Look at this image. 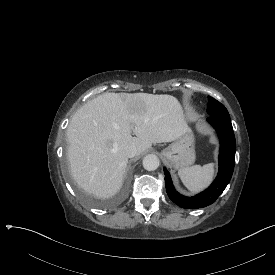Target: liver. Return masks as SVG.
<instances>
[{
    "label": "liver",
    "instance_id": "1",
    "mask_svg": "<svg viewBox=\"0 0 275 275\" xmlns=\"http://www.w3.org/2000/svg\"><path fill=\"white\" fill-rule=\"evenodd\" d=\"M188 127L185 111L172 95H98L77 110L67 128L71 178L95 199L111 198L123 186L127 145L142 153L153 143L175 139Z\"/></svg>",
    "mask_w": 275,
    "mask_h": 275
}]
</instances>
